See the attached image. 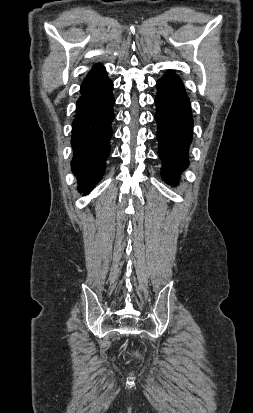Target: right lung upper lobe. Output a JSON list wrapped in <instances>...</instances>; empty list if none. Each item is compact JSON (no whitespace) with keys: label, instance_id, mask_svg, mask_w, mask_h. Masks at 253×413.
Wrapping results in <instances>:
<instances>
[{"label":"right lung upper lobe","instance_id":"cb5924a9","mask_svg":"<svg viewBox=\"0 0 253 413\" xmlns=\"http://www.w3.org/2000/svg\"><path fill=\"white\" fill-rule=\"evenodd\" d=\"M104 67L101 66L100 64H96L92 70L89 72V74L87 75V77L84 79L83 84L89 82L97 73H99L101 70H103Z\"/></svg>","mask_w":253,"mask_h":413}]
</instances>
